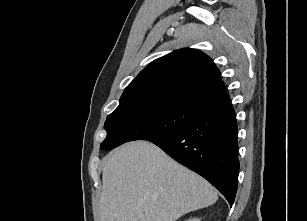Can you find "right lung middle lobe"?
<instances>
[{"mask_svg":"<svg viewBox=\"0 0 307 221\" xmlns=\"http://www.w3.org/2000/svg\"><path fill=\"white\" fill-rule=\"evenodd\" d=\"M208 108L170 99H136L120 102L105 122L107 137L101 149L133 140H149L173 133L197 119Z\"/></svg>","mask_w":307,"mask_h":221,"instance_id":"right-lung-middle-lobe-1","label":"right lung middle lobe"}]
</instances>
